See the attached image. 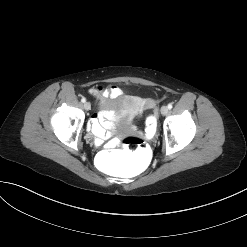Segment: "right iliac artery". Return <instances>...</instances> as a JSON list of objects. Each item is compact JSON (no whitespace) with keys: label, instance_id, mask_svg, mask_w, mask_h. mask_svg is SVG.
I'll return each mask as SVG.
<instances>
[{"label":"right iliac artery","instance_id":"1","mask_svg":"<svg viewBox=\"0 0 247 247\" xmlns=\"http://www.w3.org/2000/svg\"><path fill=\"white\" fill-rule=\"evenodd\" d=\"M81 102H82V103H85V102H86V99H85V98H82V99H81Z\"/></svg>","mask_w":247,"mask_h":247}]
</instances>
